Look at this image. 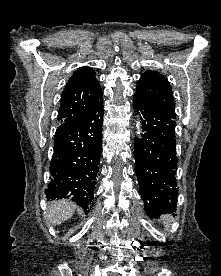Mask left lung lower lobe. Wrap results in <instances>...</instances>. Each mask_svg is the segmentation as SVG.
<instances>
[{"label":"left lung lower lobe","instance_id":"1","mask_svg":"<svg viewBox=\"0 0 221 276\" xmlns=\"http://www.w3.org/2000/svg\"><path fill=\"white\" fill-rule=\"evenodd\" d=\"M133 108L141 120L142 138L135 140V169L147 215L158 218L176 211L175 121L162 115L134 95Z\"/></svg>","mask_w":221,"mask_h":276}]
</instances>
